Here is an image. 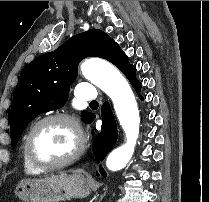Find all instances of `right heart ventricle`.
I'll use <instances>...</instances> for the list:
<instances>
[{
	"mask_svg": "<svg viewBox=\"0 0 209 202\" xmlns=\"http://www.w3.org/2000/svg\"><path fill=\"white\" fill-rule=\"evenodd\" d=\"M22 164H23V169L26 173H32V174H37L40 171L34 168L27 160L24 151L22 150Z\"/></svg>",
	"mask_w": 209,
	"mask_h": 202,
	"instance_id": "obj_1",
	"label": "right heart ventricle"
}]
</instances>
